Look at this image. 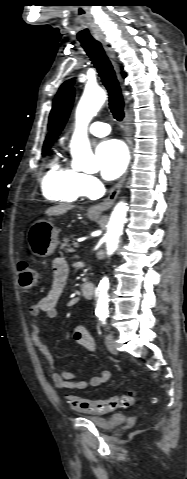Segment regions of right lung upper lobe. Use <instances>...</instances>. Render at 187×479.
<instances>
[{
    "instance_id": "1",
    "label": "right lung upper lobe",
    "mask_w": 187,
    "mask_h": 479,
    "mask_svg": "<svg viewBox=\"0 0 187 479\" xmlns=\"http://www.w3.org/2000/svg\"><path fill=\"white\" fill-rule=\"evenodd\" d=\"M122 75L125 77V73L122 72ZM73 99H74V91L72 90V93H71V96L67 102V105L65 107V110H64V113L61 117V119L59 120L57 126L55 127V129L47 136L46 138V141L44 143V147H43V151H48L52 142L55 141V139L58 137V135L60 134L61 130L63 129L65 123H66V120L68 118V115L70 113V110H71V107H72V103H73Z\"/></svg>"
}]
</instances>
